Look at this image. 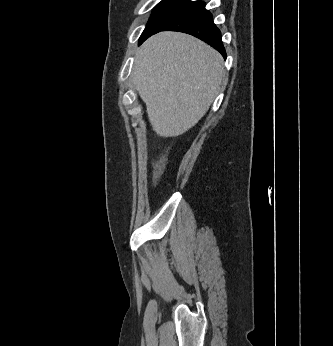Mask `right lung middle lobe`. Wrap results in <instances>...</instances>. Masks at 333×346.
<instances>
[{
    "label": "right lung middle lobe",
    "instance_id": "obj_1",
    "mask_svg": "<svg viewBox=\"0 0 333 346\" xmlns=\"http://www.w3.org/2000/svg\"><path fill=\"white\" fill-rule=\"evenodd\" d=\"M188 0H162L154 9L139 41L165 28L186 5Z\"/></svg>",
    "mask_w": 333,
    "mask_h": 346
}]
</instances>
